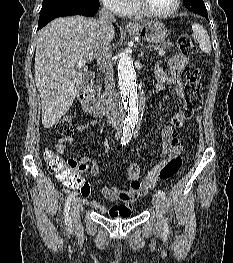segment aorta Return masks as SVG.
I'll use <instances>...</instances> for the list:
<instances>
[{
  "label": "aorta",
  "instance_id": "762f6f07",
  "mask_svg": "<svg viewBox=\"0 0 233 263\" xmlns=\"http://www.w3.org/2000/svg\"><path fill=\"white\" fill-rule=\"evenodd\" d=\"M118 83L123 123L126 127L134 129L141 118L144 92L137 81L133 61L127 51L120 54L118 62Z\"/></svg>",
  "mask_w": 233,
  "mask_h": 263
}]
</instances>
